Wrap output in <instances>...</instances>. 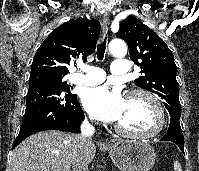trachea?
Listing matches in <instances>:
<instances>
[{
    "label": "trachea",
    "instance_id": "1",
    "mask_svg": "<svg viewBox=\"0 0 199 171\" xmlns=\"http://www.w3.org/2000/svg\"><path fill=\"white\" fill-rule=\"evenodd\" d=\"M105 50H106V37L104 38V40L98 44L97 46V59L99 61H102L104 58V54H105Z\"/></svg>",
    "mask_w": 199,
    "mask_h": 171
}]
</instances>
